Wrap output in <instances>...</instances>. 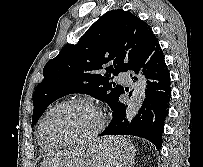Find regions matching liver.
Wrapping results in <instances>:
<instances>
[{
	"instance_id": "6515ba94",
	"label": "liver",
	"mask_w": 203,
	"mask_h": 167,
	"mask_svg": "<svg viewBox=\"0 0 203 167\" xmlns=\"http://www.w3.org/2000/svg\"><path fill=\"white\" fill-rule=\"evenodd\" d=\"M101 143L112 142L115 148H119L129 142L122 137H108L100 140ZM83 154L80 152L64 151L57 154H52L47 157L41 167H73L81 161Z\"/></svg>"
}]
</instances>
